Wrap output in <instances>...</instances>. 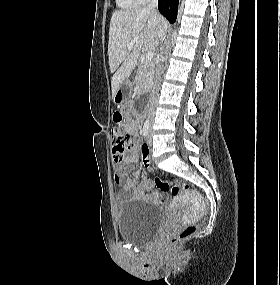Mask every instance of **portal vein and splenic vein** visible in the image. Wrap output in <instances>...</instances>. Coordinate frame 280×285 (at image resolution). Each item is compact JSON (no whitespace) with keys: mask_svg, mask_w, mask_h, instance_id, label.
<instances>
[{"mask_svg":"<svg viewBox=\"0 0 280 285\" xmlns=\"http://www.w3.org/2000/svg\"><path fill=\"white\" fill-rule=\"evenodd\" d=\"M138 41H139V37H135L130 43H128L127 49L132 50L133 45ZM153 57H154V52H152V51L147 52L145 55L146 61H151L153 59Z\"/></svg>","mask_w":280,"mask_h":285,"instance_id":"1","label":"portal vein and splenic vein"}]
</instances>
